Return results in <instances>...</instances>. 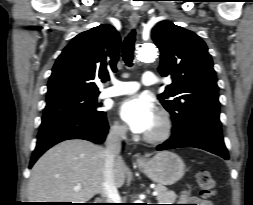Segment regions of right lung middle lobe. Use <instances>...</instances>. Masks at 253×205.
<instances>
[{
	"label": "right lung middle lobe",
	"instance_id": "dd1d6c3e",
	"mask_svg": "<svg viewBox=\"0 0 253 205\" xmlns=\"http://www.w3.org/2000/svg\"><path fill=\"white\" fill-rule=\"evenodd\" d=\"M98 95L70 96L52 101H47L43 117L47 116H74L80 118H99L105 112L99 111Z\"/></svg>",
	"mask_w": 253,
	"mask_h": 205
}]
</instances>
